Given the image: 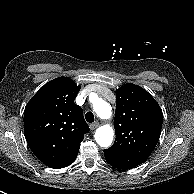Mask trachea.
<instances>
[{"mask_svg": "<svg viewBox=\"0 0 194 194\" xmlns=\"http://www.w3.org/2000/svg\"><path fill=\"white\" fill-rule=\"evenodd\" d=\"M85 119L88 123H92L94 122V115L92 112H87L86 115H85Z\"/></svg>", "mask_w": 194, "mask_h": 194, "instance_id": "1", "label": "trachea"}]
</instances>
